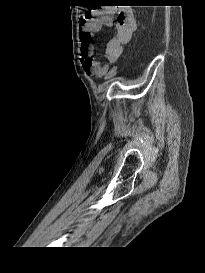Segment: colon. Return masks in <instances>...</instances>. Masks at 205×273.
<instances>
[{
  "label": "colon",
  "mask_w": 205,
  "mask_h": 273,
  "mask_svg": "<svg viewBox=\"0 0 205 273\" xmlns=\"http://www.w3.org/2000/svg\"><path fill=\"white\" fill-rule=\"evenodd\" d=\"M117 74V67H113L108 73V78L113 79Z\"/></svg>",
  "instance_id": "1"
}]
</instances>
